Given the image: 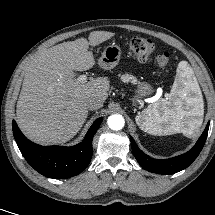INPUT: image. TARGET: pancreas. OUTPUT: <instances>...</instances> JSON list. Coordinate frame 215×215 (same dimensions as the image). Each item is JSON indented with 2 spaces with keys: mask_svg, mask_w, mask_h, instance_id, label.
I'll return each instance as SVG.
<instances>
[{
  "mask_svg": "<svg viewBox=\"0 0 215 215\" xmlns=\"http://www.w3.org/2000/svg\"><path fill=\"white\" fill-rule=\"evenodd\" d=\"M121 79L124 82H129V81L132 83L136 82V78L133 75H129V74L122 75Z\"/></svg>",
  "mask_w": 215,
  "mask_h": 215,
  "instance_id": "obj_1",
  "label": "pancreas"
}]
</instances>
